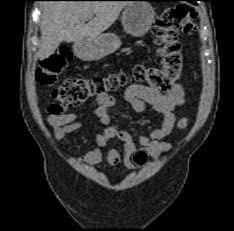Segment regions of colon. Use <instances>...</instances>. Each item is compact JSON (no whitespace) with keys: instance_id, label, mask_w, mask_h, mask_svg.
I'll return each instance as SVG.
<instances>
[{"instance_id":"colon-1","label":"colon","mask_w":234,"mask_h":231,"mask_svg":"<svg viewBox=\"0 0 234 231\" xmlns=\"http://www.w3.org/2000/svg\"><path fill=\"white\" fill-rule=\"evenodd\" d=\"M194 10L187 4H176L159 15L154 26V35L160 47L161 65L150 67L136 66L132 71L134 81L146 84L148 87L161 92L170 91L182 78L184 61L178 41L180 32L194 31ZM70 52L63 49L43 61L37 72L40 84H52L57 75L67 66ZM126 82L120 74L106 77L95 76L88 78H68L53 89V97L61 112L72 110L88 100L107 94ZM146 156L143 152L135 155V161L143 163Z\"/></svg>"}]
</instances>
